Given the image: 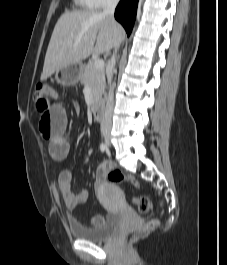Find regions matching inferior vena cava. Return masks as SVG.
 <instances>
[{"mask_svg":"<svg viewBox=\"0 0 227 265\" xmlns=\"http://www.w3.org/2000/svg\"><path fill=\"white\" fill-rule=\"evenodd\" d=\"M119 0H107V4L103 10V15L112 19H114V12L115 8L118 4ZM120 43H116L115 45V51L108 62L107 69H106V74H107V80H108V85H109V92H108V98H107V103H106V109H105V114L102 120V131L103 132H110L111 127H112V113H113V107H114V83H112V78H113V73H114V67L116 64V53L119 48Z\"/></svg>","mask_w":227,"mask_h":265,"instance_id":"inferior-vena-cava-1","label":"inferior vena cava"}]
</instances>
